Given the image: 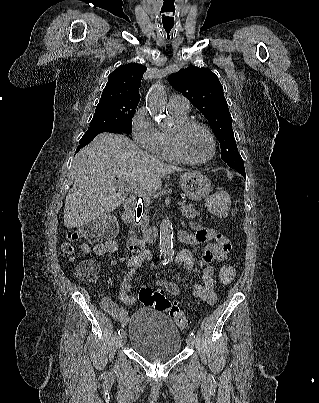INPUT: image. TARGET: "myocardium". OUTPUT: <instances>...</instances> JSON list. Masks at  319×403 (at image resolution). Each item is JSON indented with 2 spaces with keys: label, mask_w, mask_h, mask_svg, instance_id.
Returning a JSON list of instances; mask_svg holds the SVG:
<instances>
[{
  "label": "myocardium",
  "mask_w": 319,
  "mask_h": 403,
  "mask_svg": "<svg viewBox=\"0 0 319 403\" xmlns=\"http://www.w3.org/2000/svg\"><path fill=\"white\" fill-rule=\"evenodd\" d=\"M193 127H198V128L203 129L210 138L211 146H212L211 154L209 155V157H207L204 160L191 159L190 157H188L186 155V153L183 150L182 137L188 130H190ZM170 140H171L173 152L175 153L177 158L180 161L188 163V164H193V165L206 164V163L212 161L216 155L217 143H216V139H215L213 132L206 124H204L200 121H197V120L187 119L185 121L176 123L174 125V127L170 130Z\"/></svg>",
  "instance_id": "1"
}]
</instances>
